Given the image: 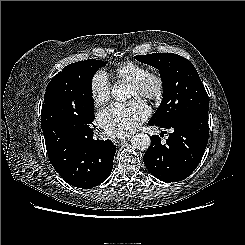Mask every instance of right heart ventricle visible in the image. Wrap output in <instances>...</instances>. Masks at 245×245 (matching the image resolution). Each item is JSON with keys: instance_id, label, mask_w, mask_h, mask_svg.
I'll return each mask as SVG.
<instances>
[{"instance_id": "e07e8e85", "label": "right heart ventricle", "mask_w": 245, "mask_h": 245, "mask_svg": "<svg viewBox=\"0 0 245 245\" xmlns=\"http://www.w3.org/2000/svg\"><path fill=\"white\" fill-rule=\"evenodd\" d=\"M146 72H148V69L145 65L135 61H125L111 71V76L115 82L130 83Z\"/></svg>"}]
</instances>
